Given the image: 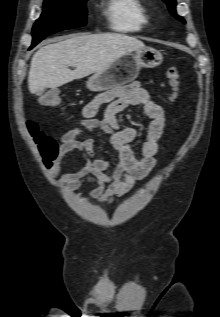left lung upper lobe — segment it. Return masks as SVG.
I'll return each mask as SVG.
<instances>
[{"mask_svg": "<svg viewBox=\"0 0 220 317\" xmlns=\"http://www.w3.org/2000/svg\"><path fill=\"white\" fill-rule=\"evenodd\" d=\"M163 1L168 5L169 10H170V12H171V14H172L173 16H175L177 19H179V20L185 22L182 17H180V16H178V15L176 14V10H175L176 2H175V0H163Z\"/></svg>", "mask_w": 220, "mask_h": 317, "instance_id": "5c2ea615", "label": "left lung upper lobe"}]
</instances>
